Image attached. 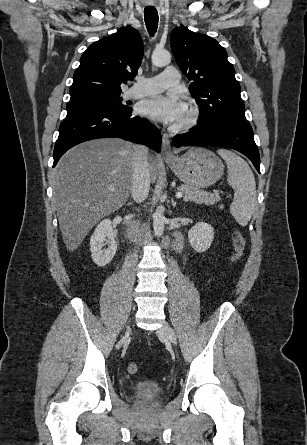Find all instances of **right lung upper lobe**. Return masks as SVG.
Segmentation results:
<instances>
[{
    "label": "right lung upper lobe",
    "instance_id": "1",
    "mask_svg": "<svg viewBox=\"0 0 307 445\" xmlns=\"http://www.w3.org/2000/svg\"><path fill=\"white\" fill-rule=\"evenodd\" d=\"M142 57L141 36L129 26L94 42L82 54L74 72L70 99L120 95V84L133 80Z\"/></svg>",
    "mask_w": 307,
    "mask_h": 445
}]
</instances>
